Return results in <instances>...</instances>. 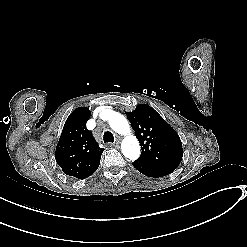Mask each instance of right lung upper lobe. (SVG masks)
Listing matches in <instances>:
<instances>
[{"label": "right lung upper lobe", "mask_w": 247, "mask_h": 247, "mask_svg": "<svg viewBox=\"0 0 247 247\" xmlns=\"http://www.w3.org/2000/svg\"><path fill=\"white\" fill-rule=\"evenodd\" d=\"M90 110L86 107L75 109L67 118L59 142L55 159L67 175L84 179L96 171L104 148H100L86 128Z\"/></svg>", "instance_id": "1"}]
</instances>
